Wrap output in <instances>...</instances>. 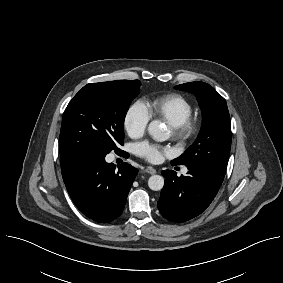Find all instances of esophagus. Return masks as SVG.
Masks as SVG:
<instances>
[{"label":"esophagus","mask_w":283,"mask_h":283,"mask_svg":"<svg viewBox=\"0 0 283 283\" xmlns=\"http://www.w3.org/2000/svg\"><path fill=\"white\" fill-rule=\"evenodd\" d=\"M145 172L152 175L157 173L156 169H154L153 167H147L145 169Z\"/></svg>","instance_id":"1"}]
</instances>
